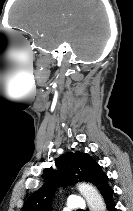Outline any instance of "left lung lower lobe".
Wrapping results in <instances>:
<instances>
[{
    "instance_id": "0a47b994",
    "label": "left lung lower lobe",
    "mask_w": 133,
    "mask_h": 211,
    "mask_svg": "<svg viewBox=\"0 0 133 211\" xmlns=\"http://www.w3.org/2000/svg\"><path fill=\"white\" fill-rule=\"evenodd\" d=\"M101 194H102V196L105 200L107 210L108 211H115L116 210V208H115L116 204L114 202V191H113V189L109 186Z\"/></svg>"
}]
</instances>
